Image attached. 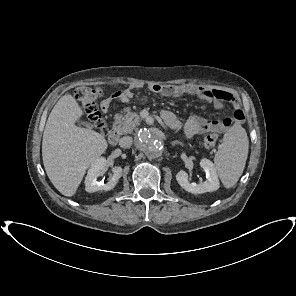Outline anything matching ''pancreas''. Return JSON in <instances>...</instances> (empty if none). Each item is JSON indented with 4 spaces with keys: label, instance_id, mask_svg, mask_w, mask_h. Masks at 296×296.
Instances as JSON below:
<instances>
[{
    "label": "pancreas",
    "instance_id": "pancreas-1",
    "mask_svg": "<svg viewBox=\"0 0 296 296\" xmlns=\"http://www.w3.org/2000/svg\"><path fill=\"white\" fill-rule=\"evenodd\" d=\"M142 119L136 112L117 114L115 116V126L120 134L131 133L137 126L140 125Z\"/></svg>",
    "mask_w": 296,
    "mask_h": 296
}]
</instances>
